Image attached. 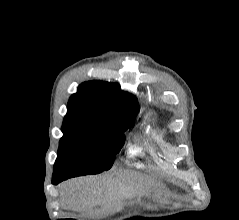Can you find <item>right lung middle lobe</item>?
<instances>
[{"instance_id":"obj_1","label":"right lung middle lobe","mask_w":239,"mask_h":220,"mask_svg":"<svg viewBox=\"0 0 239 220\" xmlns=\"http://www.w3.org/2000/svg\"><path fill=\"white\" fill-rule=\"evenodd\" d=\"M133 120L108 125L63 123L52 180L61 182L110 169L124 143L122 132Z\"/></svg>"}]
</instances>
